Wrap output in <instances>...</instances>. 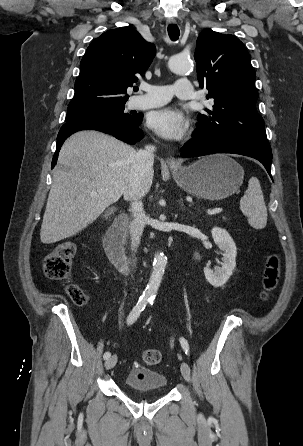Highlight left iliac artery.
I'll use <instances>...</instances> for the list:
<instances>
[{
    "instance_id": "left-iliac-artery-1",
    "label": "left iliac artery",
    "mask_w": 303,
    "mask_h": 446,
    "mask_svg": "<svg viewBox=\"0 0 303 446\" xmlns=\"http://www.w3.org/2000/svg\"><path fill=\"white\" fill-rule=\"evenodd\" d=\"M150 304H153V301H150ZM180 343H181V346H182L183 350L185 351V353L187 355H189V344H188L187 340L184 339L183 337H181Z\"/></svg>"
}]
</instances>
